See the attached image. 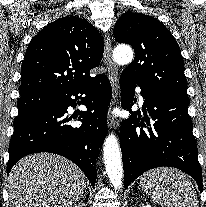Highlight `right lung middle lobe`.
I'll use <instances>...</instances> for the list:
<instances>
[{
	"mask_svg": "<svg viewBox=\"0 0 206 207\" xmlns=\"http://www.w3.org/2000/svg\"><path fill=\"white\" fill-rule=\"evenodd\" d=\"M55 102L54 94H34L20 97L18 101V115H24L34 110L54 105Z\"/></svg>",
	"mask_w": 206,
	"mask_h": 207,
	"instance_id": "right-lung-middle-lobe-1",
	"label": "right lung middle lobe"
}]
</instances>
